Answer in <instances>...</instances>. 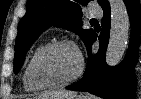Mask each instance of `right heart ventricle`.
Returning <instances> with one entry per match:
<instances>
[{"mask_svg": "<svg viewBox=\"0 0 141 99\" xmlns=\"http://www.w3.org/2000/svg\"><path fill=\"white\" fill-rule=\"evenodd\" d=\"M43 46H44V45L42 44V45L38 46V47L34 50V52H33L32 56H31V58H30V60H29V62H28V64H27V66H26V68H25V70H24V74H23V85H24V88H25L27 91H30V92H36V91H40V90H43V89H44V88H42V87H38V86L34 85V84L31 82V80H30V78H29V75H28L29 65H30V62H31L32 58L34 57V55H35Z\"/></svg>", "mask_w": 141, "mask_h": 99, "instance_id": "1", "label": "right heart ventricle"}]
</instances>
